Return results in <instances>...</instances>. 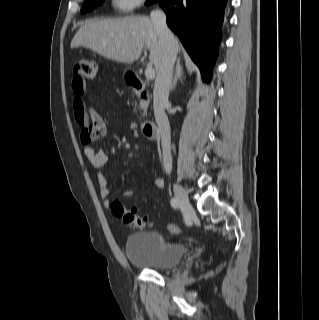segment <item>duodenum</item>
I'll return each mask as SVG.
<instances>
[{
  "instance_id": "410a0bca",
  "label": "duodenum",
  "mask_w": 319,
  "mask_h": 320,
  "mask_svg": "<svg viewBox=\"0 0 319 320\" xmlns=\"http://www.w3.org/2000/svg\"><path fill=\"white\" fill-rule=\"evenodd\" d=\"M127 80L129 84L137 91H142L144 84L142 80L135 75L134 73H128ZM142 131L145 134L146 138L150 141L157 139L158 128L151 121H145L142 123Z\"/></svg>"
}]
</instances>
